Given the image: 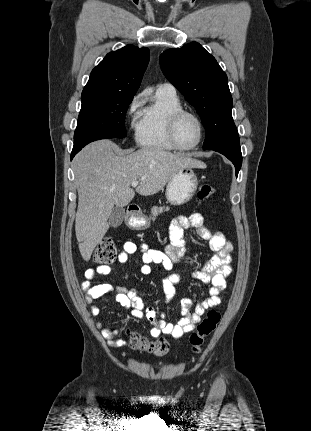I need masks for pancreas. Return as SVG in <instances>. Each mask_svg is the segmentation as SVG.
I'll return each mask as SVG.
<instances>
[{"mask_svg": "<svg viewBox=\"0 0 311 431\" xmlns=\"http://www.w3.org/2000/svg\"><path fill=\"white\" fill-rule=\"evenodd\" d=\"M170 206H162V208H158V206H154V208H151L149 217L152 219V221H155L157 219L156 216H161L163 212H169Z\"/></svg>", "mask_w": 311, "mask_h": 431, "instance_id": "pancreas-1", "label": "pancreas"}]
</instances>
